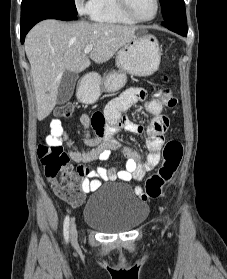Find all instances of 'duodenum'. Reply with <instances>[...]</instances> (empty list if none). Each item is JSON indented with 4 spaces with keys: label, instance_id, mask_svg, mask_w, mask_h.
I'll return each instance as SVG.
<instances>
[{
    "label": "duodenum",
    "instance_id": "1",
    "mask_svg": "<svg viewBox=\"0 0 227 279\" xmlns=\"http://www.w3.org/2000/svg\"><path fill=\"white\" fill-rule=\"evenodd\" d=\"M87 96V93L84 91H79L77 93V97H78V102L81 104H91V102L87 101L85 99V97Z\"/></svg>",
    "mask_w": 227,
    "mask_h": 279
}]
</instances>
